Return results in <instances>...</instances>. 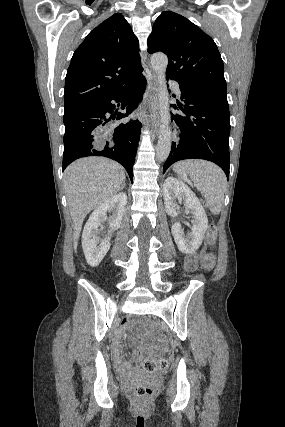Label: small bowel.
<instances>
[{"instance_id":"c3829d8e","label":"small bowel","mask_w":285,"mask_h":427,"mask_svg":"<svg viewBox=\"0 0 285 427\" xmlns=\"http://www.w3.org/2000/svg\"><path fill=\"white\" fill-rule=\"evenodd\" d=\"M195 262V257H190L186 260L185 265L186 267H189ZM126 324V321H122L121 325L124 326ZM131 352L135 355L140 354V351L138 349H132ZM112 357L114 363L118 366V368L123 372H130V364L128 362L123 361L122 358V351L119 345H114L112 348Z\"/></svg>"}]
</instances>
